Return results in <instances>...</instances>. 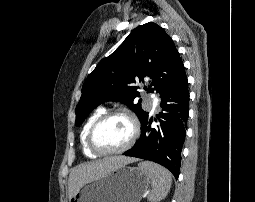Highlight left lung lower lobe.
I'll use <instances>...</instances> for the list:
<instances>
[{"instance_id": "1", "label": "left lung lower lobe", "mask_w": 255, "mask_h": 202, "mask_svg": "<svg viewBox=\"0 0 255 202\" xmlns=\"http://www.w3.org/2000/svg\"><path fill=\"white\" fill-rule=\"evenodd\" d=\"M160 97L162 112L154 119L159 122V125L152 128L153 118L149 119L147 115L141 123L142 131L139 141L123 154L159 163L170 170L177 179L189 113L186 74Z\"/></svg>"}]
</instances>
